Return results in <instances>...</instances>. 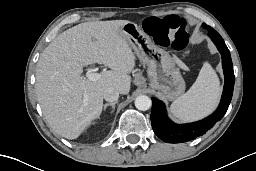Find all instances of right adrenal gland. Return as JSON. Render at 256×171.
Here are the masks:
<instances>
[{
    "label": "right adrenal gland",
    "instance_id": "1",
    "mask_svg": "<svg viewBox=\"0 0 256 171\" xmlns=\"http://www.w3.org/2000/svg\"><path fill=\"white\" fill-rule=\"evenodd\" d=\"M116 103H117V101L105 104L104 107H103V110L106 111L107 107L111 106L112 107V113H113L114 110H115Z\"/></svg>",
    "mask_w": 256,
    "mask_h": 171
}]
</instances>
